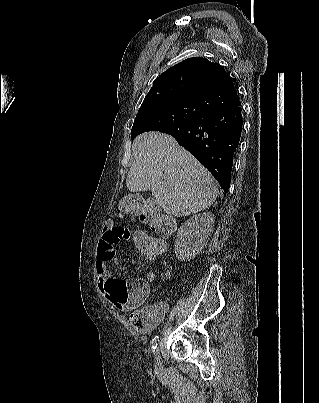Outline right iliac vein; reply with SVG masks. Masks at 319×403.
Listing matches in <instances>:
<instances>
[{
    "label": "right iliac vein",
    "mask_w": 319,
    "mask_h": 403,
    "mask_svg": "<svg viewBox=\"0 0 319 403\" xmlns=\"http://www.w3.org/2000/svg\"><path fill=\"white\" fill-rule=\"evenodd\" d=\"M154 361H155V369L156 371H160L161 367H162V361H161V355H160V350L157 349L155 352V357H154Z\"/></svg>",
    "instance_id": "63e3f726"
}]
</instances>
